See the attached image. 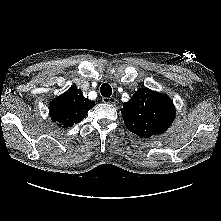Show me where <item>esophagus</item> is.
Returning a JSON list of instances; mask_svg holds the SVG:
<instances>
[{
	"label": "esophagus",
	"mask_w": 221,
	"mask_h": 221,
	"mask_svg": "<svg viewBox=\"0 0 221 221\" xmlns=\"http://www.w3.org/2000/svg\"><path fill=\"white\" fill-rule=\"evenodd\" d=\"M102 102L107 104H115L116 99L114 97H103Z\"/></svg>",
	"instance_id": "esophagus-1"
}]
</instances>
